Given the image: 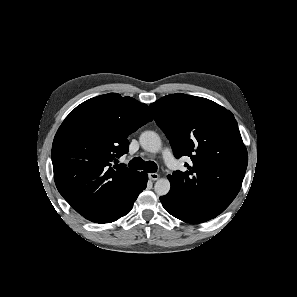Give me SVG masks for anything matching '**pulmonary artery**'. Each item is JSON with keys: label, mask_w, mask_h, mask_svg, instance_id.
Instances as JSON below:
<instances>
[{"label": "pulmonary artery", "mask_w": 297, "mask_h": 297, "mask_svg": "<svg viewBox=\"0 0 297 297\" xmlns=\"http://www.w3.org/2000/svg\"><path fill=\"white\" fill-rule=\"evenodd\" d=\"M163 158H164V161L166 162V164L171 165L173 163V155H172L171 150H169V149L164 150Z\"/></svg>", "instance_id": "pulmonary-artery-1"}]
</instances>
